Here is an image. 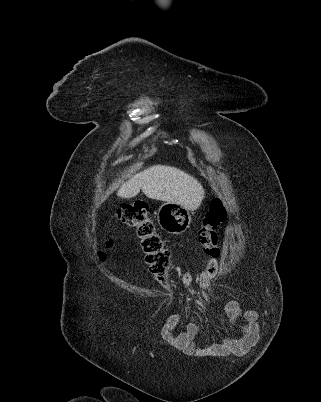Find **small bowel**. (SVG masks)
<instances>
[{"label":"small bowel","mask_w":321,"mask_h":402,"mask_svg":"<svg viewBox=\"0 0 321 402\" xmlns=\"http://www.w3.org/2000/svg\"><path fill=\"white\" fill-rule=\"evenodd\" d=\"M185 284H189L192 276L189 272H185L182 276ZM228 315L233 323L238 324L241 321L243 313L245 320L243 326L238 330H234L231 335L226 334L223 337L227 344H199L195 341L199 327L196 323H188L182 331L178 330L181 321V315H173L165 324V336L176 347L183 349L186 358H244L245 353H253L257 340L261 337L259 330L260 323L257 318L256 311L252 307H244L243 310L237 303L227 302L225 305Z\"/></svg>","instance_id":"small-bowel-1"}]
</instances>
